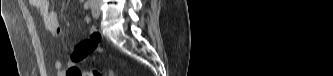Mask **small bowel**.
Segmentation results:
<instances>
[{
  "label": "small bowel",
  "mask_w": 333,
  "mask_h": 76,
  "mask_svg": "<svg viewBox=\"0 0 333 76\" xmlns=\"http://www.w3.org/2000/svg\"><path fill=\"white\" fill-rule=\"evenodd\" d=\"M34 5L39 12L40 16L44 20L46 29L57 35L64 34V30L60 25L59 19L55 11L50 7L49 2L46 0H34ZM85 23L90 22L89 17H85ZM89 37L82 40L76 44L71 49V55L69 60L66 63H63L61 60H56L53 63L54 69L58 72L59 75L64 76H83L81 75L80 62L87 59L90 55L99 51L98 42L101 41V33L96 32L95 27H90ZM64 68L66 72H64Z\"/></svg>",
  "instance_id": "obj_1"
}]
</instances>
